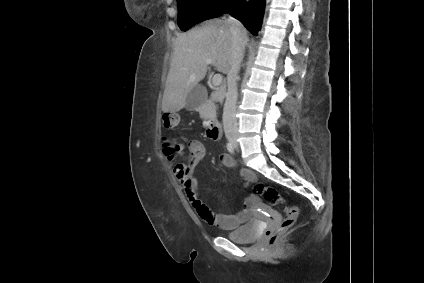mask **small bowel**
<instances>
[{
	"mask_svg": "<svg viewBox=\"0 0 424 283\" xmlns=\"http://www.w3.org/2000/svg\"><path fill=\"white\" fill-rule=\"evenodd\" d=\"M188 151L186 163L176 165L173 169L174 175L183 186L186 198L196 210L201 219L210 225L220 227L222 229H233L244 223L253 208L254 199L248 198L245 201L244 209L235 215H223L214 213L200 199L197 189L196 167L201 164L205 158L206 149L200 140L183 139ZM221 163L226 167H235L234 159L228 154L220 155ZM240 176L249 182L256 180V175L249 169H241Z\"/></svg>",
	"mask_w": 424,
	"mask_h": 283,
	"instance_id": "small-bowel-1",
	"label": "small bowel"
}]
</instances>
